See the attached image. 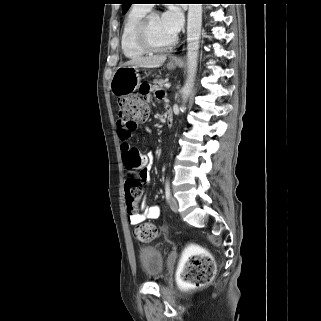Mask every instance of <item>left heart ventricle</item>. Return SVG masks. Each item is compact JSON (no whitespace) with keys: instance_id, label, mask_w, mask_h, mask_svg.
<instances>
[{"instance_id":"left-heart-ventricle-1","label":"left heart ventricle","mask_w":321,"mask_h":321,"mask_svg":"<svg viewBox=\"0 0 321 321\" xmlns=\"http://www.w3.org/2000/svg\"><path fill=\"white\" fill-rule=\"evenodd\" d=\"M148 34L150 41L158 46L169 43L174 34H172L162 23L159 15L153 16L148 25Z\"/></svg>"}]
</instances>
